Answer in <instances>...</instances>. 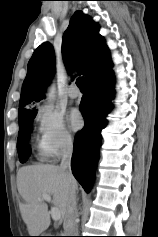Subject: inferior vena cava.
<instances>
[{
	"label": "inferior vena cava",
	"instance_id": "1",
	"mask_svg": "<svg viewBox=\"0 0 158 237\" xmlns=\"http://www.w3.org/2000/svg\"><path fill=\"white\" fill-rule=\"evenodd\" d=\"M72 153H73L72 139L70 136H66L62 142L61 147L62 160L59 167L61 170L66 172L69 179H74L71 171ZM77 218H78V210H77L76 191L73 189L70 193L67 212L63 224L67 236H78Z\"/></svg>",
	"mask_w": 158,
	"mask_h": 237
}]
</instances>
